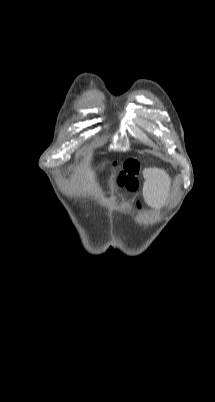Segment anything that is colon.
<instances>
[{
    "label": "colon",
    "instance_id": "colon-1",
    "mask_svg": "<svg viewBox=\"0 0 215 402\" xmlns=\"http://www.w3.org/2000/svg\"><path fill=\"white\" fill-rule=\"evenodd\" d=\"M113 164L119 163L118 157L112 158ZM112 165V164H111ZM138 163L134 159H127L122 164L121 169L119 170L116 176V183L120 187H126L131 192H135L138 189Z\"/></svg>",
    "mask_w": 215,
    "mask_h": 402
}]
</instances>
